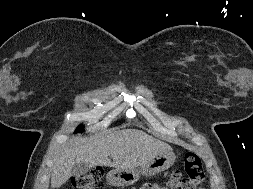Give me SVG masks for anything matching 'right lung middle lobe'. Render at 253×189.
Masks as SVG:
<instances>
[{"mask_svg":"<svg viewBox=\"0 0 253 189\" xmlns=\"http://www.w3.org/2000/svg\"><path fill=\"white\" fill-rule=\"evenodd\" d=\"M78 132H83V126H79V127L76 129L75 133H78Z\"/></svg>","mask_w":253,"mask_h":189,"instance_id":"1","label":"right lung middle lobe"}]
</instances>
